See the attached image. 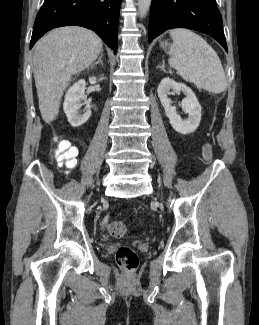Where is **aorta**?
Listing matches in <instances>:
<instances>
[{
	"instance_id": "obj_1",
	"label": "aorta",
	"mask_w": 259,
	"mask_h": 325,
	"mask_svg": "<svg viewBox=\"0 0 259 325\" xmlns=\"http://www.w3.org/2000/svg\"><path fill=\"white\" fill-rule=\"evenodd\" d=\"M151 1L152 0H138L137 5H138L140 18L145 17V15L147 14L151 5Z\"/></svg>"
}]
</instances>
